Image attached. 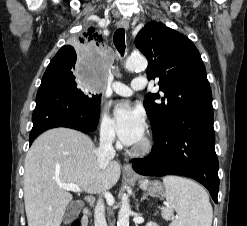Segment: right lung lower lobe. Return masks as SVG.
I'll return each mask as SVG.
<instances>
[{"label": "right lung lower lobe", "mask_w": 247, "mask_h": 226, "mask_svg": "<svg viewBox=\"0 0 247 226\" xmlns=\"http://www.w3.org/2000/svg\"><path fill=\"white\" fill-rule=\"evenodd\" d=\"M100 108L91 104L59 70L48 66L36 96L30 144L42 132L68 127L92 132L99 121Z\"/></svg>", "instance_id": "1"}]
</instances>
